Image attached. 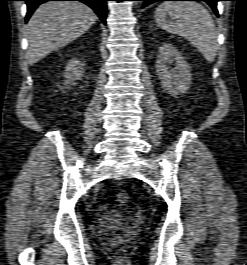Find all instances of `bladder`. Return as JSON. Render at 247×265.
I'll return each instance as SVG.
<instances>
[{"mask_svg": "<svg viewBox=\"0 0 247 265\" xmlns=\"http://www.w3.org/2000/svg\"><path fill=\"white\" fill-rule=\"evenodd\" d=\"M118 222H120V219L119 218H117V217H112L111 218V223L116 224Z\"/></svg>", "mask_w": 247, "mask_h": 265, "instance_id": "31cf9c89", "label": "bladder"}]
</instances>
